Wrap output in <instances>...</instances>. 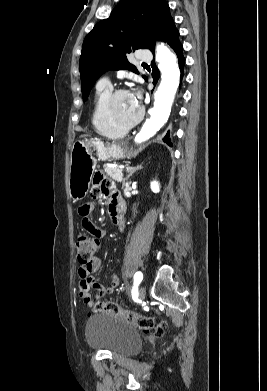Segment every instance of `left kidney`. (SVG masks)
Returning a JSON list of instances; mask_svg holds the SVG:
<instances>
[{"mask_svg":"<svg viewBox=\"0 0 267 391\" xmlns=\"http://www.w3.org/2000/svg\"><path fill=\"white\" fill-rule=\"evenodd\" d=\"M151 190L154 193L160 192V184L157 181H152L150 184Z\"/></svg>","mask_w":267,"mask_h":391,"instance_id":"1","label":"left kidney"}]
</instances>
